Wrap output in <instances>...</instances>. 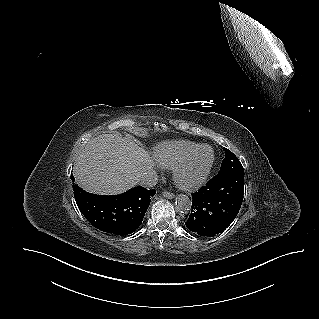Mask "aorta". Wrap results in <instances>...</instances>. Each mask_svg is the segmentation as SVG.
I'll list each match as a JSON object with an SVG mask.
<instances>
[{
  "instance_id": "762f6f07",
  "label": "aorta",
  "mask_w": 319,
  "mask_h": 319,
  "mask_svg": "<svg viewBox=\"0 0 319 319\" xmlns=\"http://www.w3.org/2000/svg\"><path fill=\"white\" fill-rule=\"evenodd\" d=\"M191 200L187 195L180 194L176 197L175 206L177 211L187 213L191 209Z\"/></svg>"
}]
</instances>
